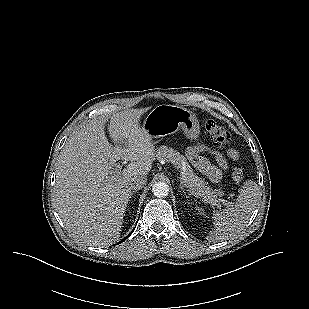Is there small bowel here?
<instances>
[{"instance_id":"obj_1","label":"small bowel","mask_w":309,"mask_h":309,"mask_svg":"<svg viewBox=\"0 0 309 309\" xmlns=\"http://www.w3.org/2000/svg\"><path fill=\"white\" fill-rule=\"evenodd\" d=\"M201 150L209 151L215 158L217 166H213L208 162L202 160L198 153ZM189 155L195 162V164L202 170V172L207 176V178L213 182L218 183L222 179V175L224 172L228 170V159L232 161H237L239 159V153L236 149L230 148L227 150L226 155L222 154L219 151L208 149L206 147H200L196 150H191Z\"/></svg>"}]
</instances>
